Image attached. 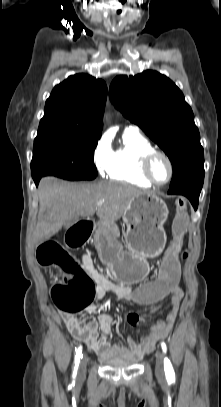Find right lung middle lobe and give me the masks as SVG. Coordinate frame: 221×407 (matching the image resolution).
Listing matches in <instances>:
<instances>
[{
  "instance_id": "dd1d6c3e",
  "label": "right lung middle lobe",
  "mask_w": 221,
  "mask_h": 407,
  "mask_svg": "<svg viewBox=\"0 0 221 407\" xmlns=\"http://www.w3.org/2000/svg\"><path fill=\"white\" fill-rule=\"evenodd\" d=\"M98 138L67 132H41L34 140L33 177L54 175L67 180H92L97 176L93 162Z\"/></svg>"
}]
</instances>
